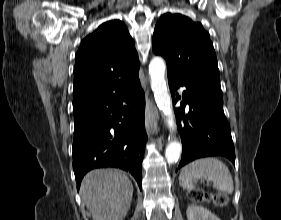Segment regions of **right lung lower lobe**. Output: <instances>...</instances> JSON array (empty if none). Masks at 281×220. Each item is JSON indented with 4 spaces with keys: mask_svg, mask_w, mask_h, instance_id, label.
Here are the masks:
<instances>
[{
    "mask_svg": "<svg viewBox=\"0 0 281 220\" xmlns=\"http://www.w3.org/2000/svg\"><path fill=\"white\" fill-rule=\"evenodd\" d=\"M144 113L145 95L139 80L74 113L73 169L78 189L88 171L102 167L130 172L141 188L147 139Z\"/></svg>",
    "mask_w": 281,
    "mask_h": 220,
    "instance_id": "1",
    "label": "right lung lower lobe"
}]
</instances>
